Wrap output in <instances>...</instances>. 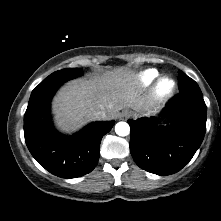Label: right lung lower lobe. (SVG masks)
Wrapping results in <instances>:
<instances>
[{
    "instance_id": "right-lung-lower-lobe-1",
    "label": "right lung lower lobe",
    "mask_w": 221,
    "mask_h": 221,
    "mask_svg": "<svg viewBox=\"0 0 221 221\" xmlns=\"http://www.w3.org/2000/svg\"><path fill=\"white\" fill-rule=\"evenodd\" d=\"M59 86L33 92L24 115L26 145L37 162L53 175L76 178L91 172L98 163L100 142L114 125L93 122L73 136L55 130L50 103Z\"/></svg>"
}]
</instances>
